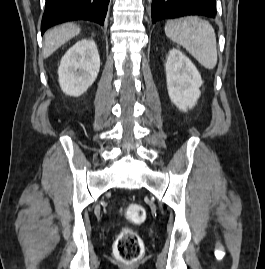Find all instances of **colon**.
Returning <instances> with one entry per match:
<instances>
[{
	"instance_id": "obj_1",
	"label": "colon",
	"mask_w": 265,
	"mask_h": 269,
	"mask_svg": "<svg viewBox=\"0 0 265 269\" xmlns=\"http://www.w3.org/2000/svg\"><path fill=\"white\" fill-rule=\"evenodd\" d=\"M126 217L132 223H140L145 219V210L142 205L132 203L126 209ZM142 251L143 245L139 235L132 229L124 228L114 246L117 258L126 263H134L140 259Z\"/></svg>"
}]
</instances>
